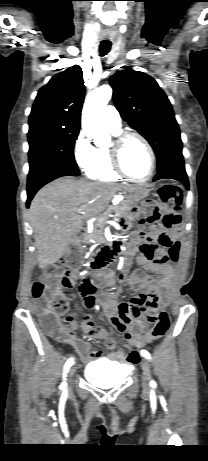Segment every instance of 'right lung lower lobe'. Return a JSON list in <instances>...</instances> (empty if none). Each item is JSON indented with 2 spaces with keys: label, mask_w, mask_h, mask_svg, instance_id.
<instances>
[{
  "label": "right lung lower lobe",
  "mask_w": 208,
  "mask_h": 461,
  "mask_svg": "<svg viewBox=\"0 0 208 461\" xmlns=\"http://www.w3.org/2000/svg\"><path fill=\"white\" fill-rule=\"evenodd\" d=\"M79 174L78 169L60 162H49L30 171L28 174L26 206L29 207L35 193L48 182L62 176H78Z\"/></svg>",
  "instance_id": "right-lung-lower-lobe-1"
}]
</instances>
